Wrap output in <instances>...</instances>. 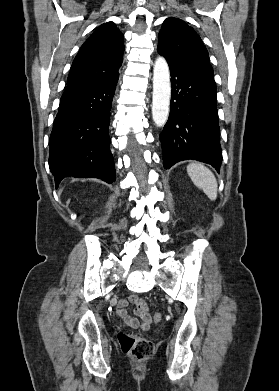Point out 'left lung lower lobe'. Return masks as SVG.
I'll return each mask as SVG.
<instances>
[{
	"instance_id": "1",
	"label": "left lung lower lobe",
	"mask_w": 279,
	"mask_h": 391,
	"mask_svg": "<svg viewBox=\"0 0 279 391\" xmlns=\"http://www.w3.org/2000/svg\"><path fill=\"white\" fill-rule=\"evenodd\" d=\"M169 68L171 110L159 136L163 165L169 169L179 161L194 159L219 171L222 153L216 87L185 69L173 65Z\"/></svg>"
}]
</instances>
